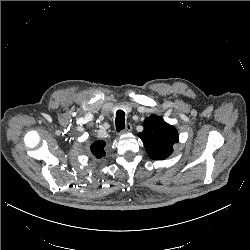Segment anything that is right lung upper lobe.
<instances>
[{
  "label": "right lung upper lobe",
  "mask_w": 250,
  "mask_h": 250,
  "mask_svg": "<svg viewBox=\"0 0 250 250\" xmlns=\"http://www.w3.org/2000/svg\"><path fill=\"white\" fill-rule=\"evenodd\" d=\"M105 142L104 141H96L91 145V151L96 156V158H102L105 155L104 151Z\"/></svg>",
  "instance_id": "obj_1"
}]
</instances>
